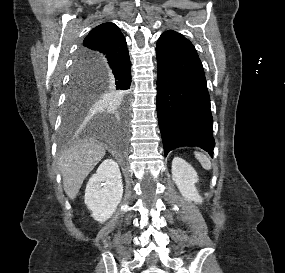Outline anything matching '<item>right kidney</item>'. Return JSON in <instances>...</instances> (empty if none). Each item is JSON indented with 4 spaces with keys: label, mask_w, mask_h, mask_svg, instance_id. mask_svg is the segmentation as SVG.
Here are the masks:
<instances>
[{
    "label": "right kidney",
    "mask_w": 285,
    "mask_h": 273,
    "mask_svg": "<svg viewBox=\"0 0 285 273\" xmlns=\"http://www.w3.org/2000/svg\"><path fill=\"white\" fill-rule=\"evenodd\" d=\"M122 195L123 185L119 166L114 160L106 159L87 183L85 204L92 211V217L104 223L117 209Z\"/></svg>",
    "instance_id": "1"
}]
</instances>
